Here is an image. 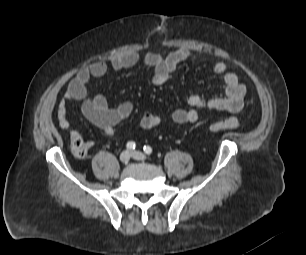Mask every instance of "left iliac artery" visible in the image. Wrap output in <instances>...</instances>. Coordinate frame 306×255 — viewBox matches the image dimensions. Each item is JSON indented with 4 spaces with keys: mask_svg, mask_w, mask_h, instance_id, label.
I'll return each instance as SVG.
<instances>
[{
    "mask_svg": "<svg viewBox=\"0 0 306 255\" xmlns=\"http://www.w3.org/2000/svg\"><path fill=\"white\" fill-rule=\"evenodd\" d=\"M143 151L146 154L150 155L152 153V148L150 146L146 145V146L143 147Z\"/></svg>",
    "mask_w": 306,
    "mask_h": 255,
    "instance_id": "44dca946",
    "label": "left iliac artery"
}]
</instances>
